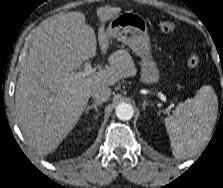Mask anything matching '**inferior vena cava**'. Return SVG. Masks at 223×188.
<instances>
[{
	"instance_id": "1",
	"label": "inferior vena cava",
	"mask_w": 223,
	"mask_h": 188,
	"mask_svg": "<svg viewBox=\"0 0 223 188\" xmlns=\"http://www.w3.org/2000/svg\"><path fill=\"white\" fill-rule=\"evenodd\" d=\"M91 96L96 102H105L111 96V89L108 86H99L91 91Z\"/></svg>"
}]
</instances>
